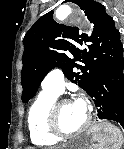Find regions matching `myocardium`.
I'll list each match as a JSON object with an SVG mask.
<instances>
[{
    "mask_svg": "<svg viewBox=\"0 0 124 149\" xmlns=\"http://www.w3.org/2000/svg\"><path fill=\"white\" fill-rule=\"evenodd\" d=\"M70 101L71 99L69 98L56 99L52 103L48 111V129L52 135H54L59 139H69L82 134L89 128L92 122V110L91 108H88L87 118L80 128L74 131L63 130L59 122V110L61 105L68 103Z\"/></svg>",
    "mask_w": 124,
    "mask_h": 149,
    "instance_id": "myocardium-1",
    "label": "myocardium"
}]
</instances>
